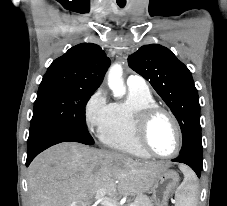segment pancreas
<instances>
[{
    "label": "pancreas",
    "instance_id": "1",
    "mask_svg": "<svg viewBox=\"0 0 227 206\" xmlns=\"http://www.w3.org/2000/svg\"><path fill=\"white\" fill-rule=\"evenodd\" d=\"M135 205V206H154L152 201L146 196V195H143L142 193H139L134 202L130 205H127V206H131V205Z\"/></svg>",
    "mask_w": 227,
    "mask_h": 206
}]
</instances>
